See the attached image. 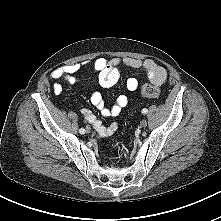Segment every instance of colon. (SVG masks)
Returning a JSON list of instances; mask_svg holds the SVG:
<instances>
[{
    "label": "colon",
    "mask_w": 221,
    "mask_h": 221,
    "mask_svg": "<svg viewBox=\"0 0 221 221\" xmlns=\"http://www.w3.org/2000/svg\"><path fill=\"white\" fill-rule=\"evenodd\" d=\"M141 94L146 98H157L160 95V89L154 84H146L142 86Z\"/></svg>",
    "instance_id": "colon-1"
}]
</instances>
